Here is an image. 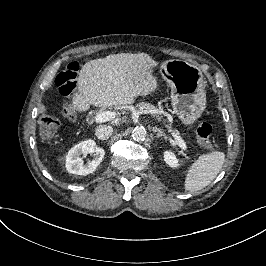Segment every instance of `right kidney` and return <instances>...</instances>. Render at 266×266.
Segmentation results:
<instances>
[{
    "mask_svg": "<svg viewBox=\"0 0 266 266\" xmlns=\"http://www.w3.org/2000/svg\"><path fill=\"white\" fill-rule=\"evenodd\" d=\"M87 154L93 155V159L86 164L83 157ZM74 163V174L87 175L92 173L105 155L102 147H98L94 141L81 142L73 147L67 154Z\"/></svg>",
    "mask_w": 266,
    "mask_h": 266,
    "instance_id": "obj_1",
    "label": "right kidney"
}]
</instances>
